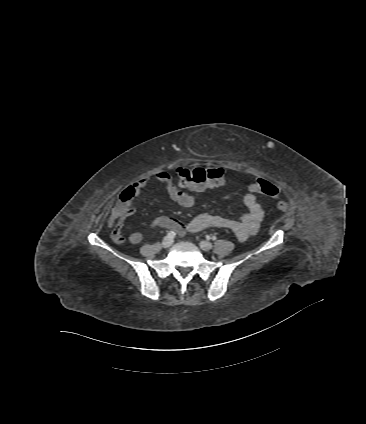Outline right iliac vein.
<instances>
[{
  "instance_id": "63e3f726",
  "label": "right iliac vein",
  "mask_w": 366,
  "mask_h": 424,
  "mask_svg": "<svg viewBox=\"0 0 366 424\" xmlns=\"http://www.w3.org/2000/svg\"><path fill=\"white\" fill-rule=\"evenodd\" d=\"M172 243H173V239L168 237V236L164 237V239L162 241V245H163L164 248L170 247L172 245Z\"/></svg>"
}]
</instances>
